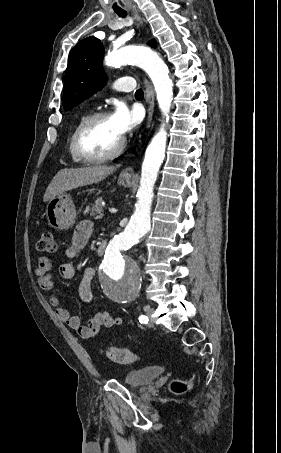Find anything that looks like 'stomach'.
<instances>
[{
	"label": "stomach",
	"instance_id": "obj_1",
	"mask_svg": "<svg viewBox=\"0 0 281 453\" xmlns=\"http://www.w3.org/2000/svg\"><path fill=\"white\" fill-rule=\"evenodd\" d=\"M119 180L124 186H130L132 174H120ZM45 214L50 227L57 231H67L73 227L77 218L76 206L70 194L66 192L48 200Z\"/></svg>",
	"mask_w": 281,
	"mask_h": 453
}]
</instances>
